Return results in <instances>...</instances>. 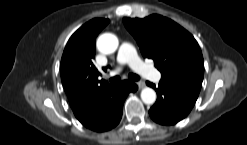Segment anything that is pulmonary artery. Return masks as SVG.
Returning a JSON list of instances; mask_svg holds the SVG:
<instances>
[{
	"label": "pulmonary artery",
	"mask_w": 247,
	"mask_h": 145,
	"mask_svg": "<svg viewBox=\"0 0 247 145\" xmlns=\"http://www.w3.org/2000/svg\"><path fill=\"white\" fill-rule=\"evenodd\" d=\"M117 63L119 67L112 71L111 75L117 74L121 69V65L128 64L137 73L152 81H158L161 78V73L153 67L142 62L138 57L135 48L129 43H123L121 45L117 55Z\"/></svg>",
	"instance_id": "pulmonary-artery-1"
}]
</instances>
